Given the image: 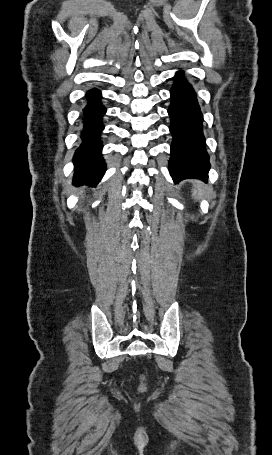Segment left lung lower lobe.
Returning <instances> with one entry per match:
<instances>
[{"label": "left lung lower lobe", "instance_id": "0a47b994", "mask_svg": "<svg viewBox=\"0 0 272 455\" xmlns=\"http://www.w3.org/2000/svg\"><path fill=\"white\" fill-rule=\"evenodd\" d=\"M174 78L168 109L171 118L169 130L173 136L169 171L175 182L186 178L206 181L210 164L205 149L202 113L184 73L179 71Z\"/></svg>", "mask_w": 272, "mask_h": 455}]
</instances>
